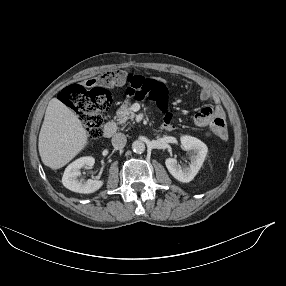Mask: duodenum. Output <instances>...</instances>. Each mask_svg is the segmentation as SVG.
Instances as JSON below:
<instances>
[{
    "label": "duodenum",
    "instance_id": "1",
    "mask_svg": "<svg viewBox=\"0 0 286 286\" xmlns=\"http://www.w3.org/2000/svg\"><path fill=\"white\" fill-rule=\"evenodd\" d=\"M117 131V125L114 122H108L103 129V136L111 138Z\"/></svg>",
    "mask_w": 286,
    "mask_h": 286
}]
</instances>
